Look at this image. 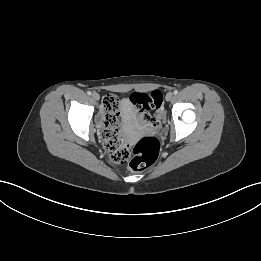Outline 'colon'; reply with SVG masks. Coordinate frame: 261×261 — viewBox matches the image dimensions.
Masks as SVG:
<instances>
[{
  "label": "colon",
  "mask_w": 261,
  "mask_h": 261,
  "mask_svg": "<svg viewBox=\"0 0 261 261\" xmlns=\"http://www.w3.org/2000/svg\"><path fill=\"white\" fill-rule=\"evenodd\" d=\"M129 104H134L132 112L139 121L153 129H158L163 120L164 108L162 93L154 90L150 93L135 92L126 97ZM104 122L102 137L110 159L115 164L128 163L133 171H143L151 166L159 155L160 144L154 137H144L134 145L128 144L121 133L118 100L113 95L103 99ZM152 109V115L150 110Z\"/></svg>",
  "instance_id": "5ec220e1"
}]
</instances>
